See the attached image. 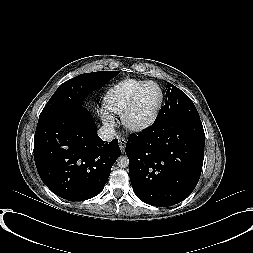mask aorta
I'll return each mask as SVG.
<instances>
[{"label": "aorta", "instance_id": "obj_1", "mask_svg": "<svg viewBox=\"0 0 253 253\" xmlns=\"http://www.w3.org/2000/svg\"><path fill=\"white\" fill-rule=\"evenodd\" d=\"M116 162H117V166L120 168H126L129 166V159L125 155L119 156Z\"/></svg>", "mask_w": 253, "mask_h": 253}]
</instances>
